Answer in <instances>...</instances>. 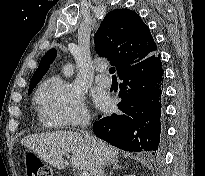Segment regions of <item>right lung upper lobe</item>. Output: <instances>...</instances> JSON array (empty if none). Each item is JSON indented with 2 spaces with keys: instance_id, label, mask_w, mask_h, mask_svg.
I'll return each mask as SVG.
<instances>
[{
  "instance_id": "cb5924a9",
  "label": "right lung upper lobe",
  "mask_w": 205,
  "mask_h": 176,
  "mask_svg": "<svg viewBox=\"0 0 205 176\" xmlns=\"http://www.w3.org/2000/svg\"><path fill=\"white\" fill-rule=\"evenodd\" d=\"M95 45L100 55L116 66L118 75L148 56L158 54L148 26L137 13L128 9H116L105 16L95 35ZM55 57V49L43 56L32 76L29 90L46 74Z\"/></svg>"
}]
</instances>
